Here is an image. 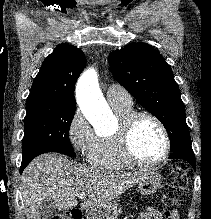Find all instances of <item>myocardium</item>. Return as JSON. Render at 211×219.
Instances as JSON below:
<instances>
[{
	"label": "myocardium",
	"instance_id": "f54148a6",
	"mask_svg": "<svg viewBox=\"0 0 211 219\" xmlns=\"http://www.w3.org/2000/svg\"><path fill=\"white\" fill-rule=\"evenodd\" d=\"M147 117L155 122L159 127L163 140L164 150L160 158L153 162H145L137 157L132 147V133L135 124L140 118ZM118 144L120 152L124 159L132 165L141 168H153L163 164L169 157L171 151V141L168 130L162 120L152 112L149 111H133L121 121L119 130L117 131Z\"/></svg>",
	"mask_w": 211,
	"mask_h": 219
}]
</instances>
